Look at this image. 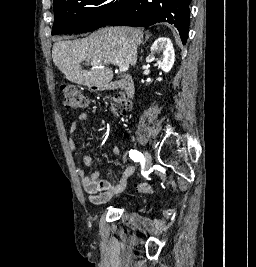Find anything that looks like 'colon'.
<instances>
[{
	"label": "colon",
	"instance_id": "colon-1",
	"mask_svg": "<svg viewBox=\"0 0 256 267\" xmlns=\"http://www.w3.org/2000/svg\"><path fill=\"white\" fill-rule=\"evenodd\" d=\"M61 89L63 94V105L67 109L80 110L84 109L87 106V98L85 97L84 93L76 86L65 85L62 86ZM129 106V102L124 97H118L111 104V108L117 114H124L129 109ZM139 190L149 193L152 192L151 186L146 183L140 184Z\"/></svg>",
	"mask_w": 256,
	"mask_h": 267
}]
</instances>
